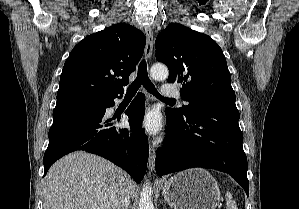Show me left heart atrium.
Listing matches in <instances>:
<instances>
[{"label": "left heart atrium", "instance_id": "1", "mask_svg": "<svg viewBox=\"0 0 299 209\" xmlns=\"http://www.w3.org/2000/svg\"><path fill=\"white\" fill-rule=\"evenodd\" d=\"M141 126L149 133L156 134L161 127L159 115L156 111H149L141 120Z\"/></svg>", "mask_w": 299, "mask_h": 209}]
</instances>
